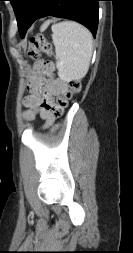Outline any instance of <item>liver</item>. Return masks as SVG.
I'll return each instance as SVG.
<instances>
[{
	"instance_id": "liver-1",
	"label": "liver",
	"mask_w": 133,
	"mask_h": 253,
	"mask_svg": "<svg viewBox=\"0 0 133 253\" xmlns=\"http://www.w3.org/2000/svg\"><path fill=\"white\" fill-rule=\"evenodd\" d=\"M50 21H46L42 26H41V30H44L47 28V26L49 25Z\"/></svg>"
}]
</instances>
